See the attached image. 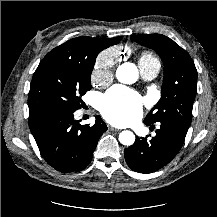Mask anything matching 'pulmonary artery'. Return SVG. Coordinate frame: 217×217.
<instances>
[{"label":"pulmonary artery","instance_id":"pulmonary-artery-1","mask_svg":"<svg viewBox=\"0 0 217 217\" xmlns=\"http://www.w3.org/2000/svg\"><path fill=\"white\" fill-rule=\"evenodd\" d=\"M140 73L142 77L146 80L154 79L159 71H160V64L158 62H150L145 64H140Z\"/></svg>","mask_w":217,"mask_h":217}]
</instances>
